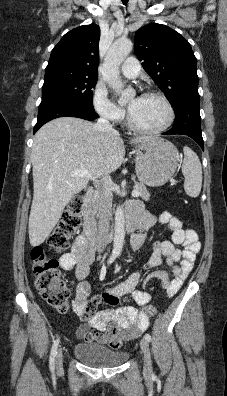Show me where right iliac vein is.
Masks as SVG:
<instances>
[{
	"mask_svg": "<svg viewBox=\"0 0 227 396\" xmlns=\"http://www.w3.org/2000/svg\"><path fill=\"white\" fill-rule=\"evenodd\" d=\"M62 361H63L62 349H59L56 356L57 368H60L62 366Z\"/></svg>",
	"mask_w": 227,
	"mask_h": 396,
	"instance_id": "obj_1",
	"label": "right iliac vein"
}]
</instances>
